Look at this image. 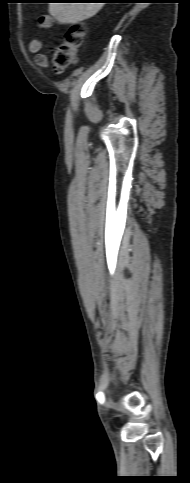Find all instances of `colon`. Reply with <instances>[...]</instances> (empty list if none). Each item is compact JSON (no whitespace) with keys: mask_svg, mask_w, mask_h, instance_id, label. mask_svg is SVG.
<instances>
[{"mask_svg":"<svg viewBox=\"0 0 190 483\" xmlns=\"http://www.w3.org/2000/svg\"><path fill=\"white\" fill-rule=\"evenodd\" d=\"M85 26L74 23L65 34L64 41L52 52L53 69L57 74L63 73L76 62V56L83 43Z\"/></svg>","mask_w":190,"mask_h":483,"instance_id":"obj_1","label":"colon"}]
</instances>
